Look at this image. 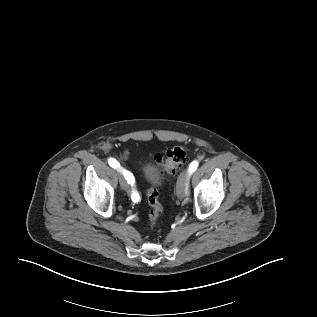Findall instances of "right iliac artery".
<instances>
[{
  "label": "right iliac artery",
  "mask_w": 317,
  "mask_h": 317,
  "mask_svg": "<svg viewBox=\"0 0 317 317\" xmlns=\"http://www.w3.org/2000/svg\"><path fill=\"white\" fill-rule=\"evenodd\" d=\"M108 163L114 169L120 168V164L114 158H109ZM120 171H122V173L124 174V177L127 180V183L133 185L134 184V177H133L132 173H130L129 171L124 170L122 168H120ZM131 199L134 202H138L140 200V197L137 193H135V191H133L131 194Z\"/></svg>",
  "instance_id": "obj_1"
}]
</instances>
